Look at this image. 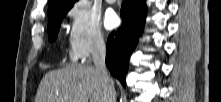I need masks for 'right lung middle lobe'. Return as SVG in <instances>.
<instances>
[{
  "label": "right lung middle lobe",
  "mask_w": 221,
  "mask_h": 102,
  "mask_svg": "<svg viewBox=\"0 0 221 102\" xmlns=\"http://www.w3.org/2000/svg\"><path fill=\"white\" fill-rule=\"evenodd\" d=\"M71 8H66L63 9L59 12H57L55 15H53L48 22V37L50 42L55 41L58 31L60 29V25L61 22L63 20V18L65 17V15L67 14V12L70 10Z\"/></svg>",
  "instance_id": "obj_1"
}]
</instances>
